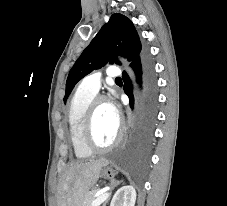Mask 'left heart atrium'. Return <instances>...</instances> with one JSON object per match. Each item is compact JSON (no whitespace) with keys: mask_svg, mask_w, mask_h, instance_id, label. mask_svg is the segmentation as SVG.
<instances>
[{"mask_svg":"<svg viewBox=\"0 0 227 206\" xmlns=\"http://www.w3.org/2000/svg\"><path fill=\"white\" fill-rule=\"evenodd\" d=\"M108 108L111 113V115L118 120L119 114H118V109L117 106L113 102H108Z\"/></svg>","mask_w":227,"mask_h":206,"instance_id":"39dd6f15","label":"left heart atrium"}]
</instances>
